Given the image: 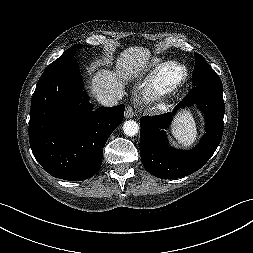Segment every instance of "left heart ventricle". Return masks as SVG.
<instances>
[{
  "label": "left heart ventricle",
  "instance_id": "obj_1",
  "mask_svg": "<svg viewBox=\"0 0 253 253\" xmlns=\"http://www.w3.org/2000/svg\"><path fill=\"white\" fill-rule=\"evenodd\" d=\"M179 74V71L178 70H170L168 72V75L169 76H177Z\"/></svg>",
  "mask_w": 253,
  "mask_h": 253
}]
</instances>
